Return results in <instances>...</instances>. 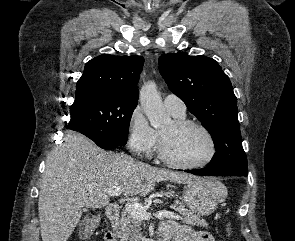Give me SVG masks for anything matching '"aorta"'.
Segmentation results:
<instances>
[{
    "label": "aorta",
    "mask_w": 295,
    "mask_h": 241,
    "mask_svg": "<svg viewBox=\"0 0 295 241\" xmlns=\"http://www.w3.org/2000/svg\"><path fill=\"white\" fill-rule=\"evenodd\" d=\"M139 100L153 128L159 129L171 123L154 82H149L141 88Z\"/></svg>",
    "instance_id": "obj_1"
}]
</instances>
